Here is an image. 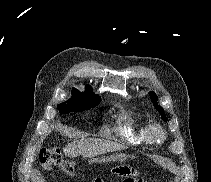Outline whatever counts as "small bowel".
Instances as JSON below:
<instances>
[{
    "label": "small bowel",
    "mask_w": 211,
    "mask_h": 182,
    "mask_svg": "<svg viewBox=\"0 0 211 182\" xmlns=\"http://www.w3.org/2000/svg\"><path fill=\"white\" fill-rule=\"evenodd\" d=\"M124 182H134V180H133L132 176L129 175L124 178Z\"/></svg>",
    "instance_id": "obj_1"
}]
</instances>
